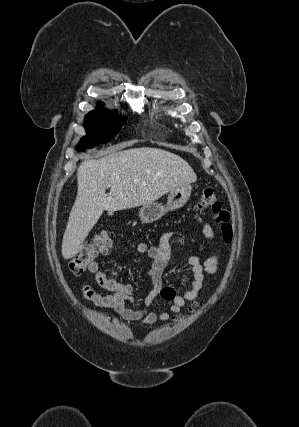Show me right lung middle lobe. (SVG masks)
Here are the masks:
<instances>
[{
  "mask_svg": "<svg viewBox=\"0 0 299 427\" xmlns=\"http://www.w3.org/2000/svg\"><path fill=\"white\" fill-rule=\"evenodd\" d=\"M106 112L107 110L98 109L86 115L84 126L88 135L81 139L78 150L108 142L119 131L125 119L116 112H113V118H109Z\"/></svg>",
  "mask_w": 299,
  "mask_h": 427,
  "instance_id": "dd1d6c3e",
  "label": "right lung middle lobe"
}]
</instances>
